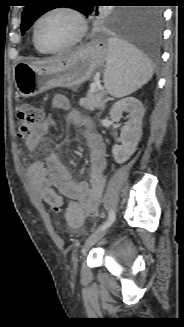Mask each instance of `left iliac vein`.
I'll use <instances>...</instances> for the list:
<instances>
[{
  "label": "left iliac vein",
  "instance_id": "left-iliac-vein-1",
  "mask_svg": "<svg viewBox=\"0 0 184 327\" xmlns=\"http://www.w3.org/2000/svg\"><path fill=\"white\" fill-rule=\"evenodd\" d=\"M107 228L103 230H98L93 233L85 242L82 253L85 254L92 246H94L107 232Z\"/></svg>",
  "mask_w": 184,
  "mask_h": 327
}]
</instances>
